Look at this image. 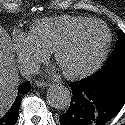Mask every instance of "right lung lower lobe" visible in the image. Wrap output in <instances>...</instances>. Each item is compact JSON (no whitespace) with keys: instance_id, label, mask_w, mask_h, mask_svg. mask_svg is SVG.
<instances>
[{"instance_id":"obj_1","label":"right lung lower lobe","mask_w":125,"mask_h":125,"mask_svg":"<svg viewBox=\"0 0 125 125\" xmlns=\"http://www.w3.org/2000/svg\"><path fill=\"white\" fill-rule=\"evenodd\" d=\"M31 88L29 82L24 83L18 89V96L15 99L14 103L10 107V109L1 116L0 118V125H15L16 121L19 116V106H20V99L21 95L28 92Z\"/></svg>"}]
</instances>
